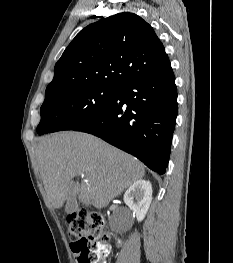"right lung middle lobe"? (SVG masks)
Returning a JSON list of instances; mask_svg holds the SVG:
<instances>
[{
	"instance_id": "obj_1",
	"label": "right lung middle lobe",
	"mask_w": 233,
	"mask_h": 263,
	"mask_svg": "<svg viewBox=\"0 0 233 263\" xmlns=\"http://www.w3.org/2000/svg\"><path fill=\"white\" fill-rule=\"evenodd\" d=\"M116 92L117 88L88 86L46 97L37 133L73 129L108 107Z\"/></svg>"
}]
</instances>
